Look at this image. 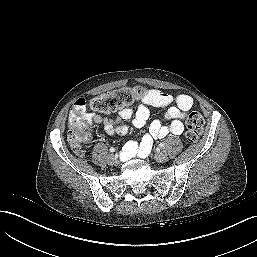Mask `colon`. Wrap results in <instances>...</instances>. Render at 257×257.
<instances>
[{
  "label": "colon",
  "instance_id": "colon-1",
  "mask_svg": "<svg viewBox=\"0 0 257 257\" xmlns=\"http://www.w3.org/2000/svg\"><path fill=\"white\" fill-rule=\"evenodd\" d=\"M146 91L142 87L122 88L104 93L86 101L78 99L72 107L68 123V139L77 154L82 153L83 144L91 138L86 117L87 106L95 111L108 113L130 106L142 99ZM204 120L198 112H191L186 119L185 137L189 142H196L203 130Z\"/></svg>",
  "mask_w": 257,
  "mask_h": 257
}]
</instances>
